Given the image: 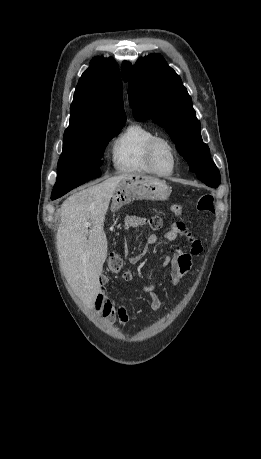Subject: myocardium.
Wrapping results in <instances>:
<instances>
[{
    "instance_id": "f54148a6",
    "label": "myocardium",
    "mask_w": 261,
    "mask_h": 459,
    "mask_svg": "<svg viewBox=\"0 0 261 459\" xmlns=\"http://www.w3.org/2000/svg\"><path fill=\"white\" fill-rule=\"evenodd\" d=\"M160 143L166 144L168 148L170 149L172 156H173V167L171 171H169L168 173H162L158 171L154 164L155 149ZM146 160L153 174L160 176V177H167V176H171L176 171L178 167V163H179V156H178V151L176 149L175 144L169 138L156 135L154 138H152L149 141L147 145Z\"/></svg>"
}]
</instances>
